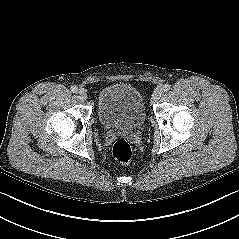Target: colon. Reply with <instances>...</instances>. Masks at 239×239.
Returning <instances> with one entry per match:
<instances>
[{
  "label": "colon",
  "mask_w": 239,
  "mask_h": 239,
  "mask_svg": "<svg viewBox=\"0 0 239 239\" xmlns=\"http://www.w3.org/2000/svg\"><path fill=\"white\" fill-rule=\"evenodd\" d=\"M132 153V147L125 139H118L112 146V155L120 162H129Z\"/></svg>",
  "instance_id": "1"
}]
</instances>
